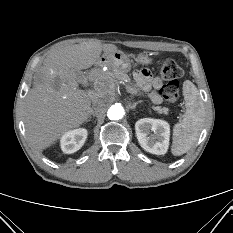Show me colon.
<instances>
[{
    "mask_svg": "<svg viewBox=\"0 0 233 233\" xmlns=\"http://www.w3.org/2000/svg\"><path fill=\"white\" fill-rule=\"evenodd\" d=\"M159 73L167 81L161 88V95L166 101L175 103L179 98L178 79L184 76L183 69L176 61L167 59L161 64Z\"/></svg>",
    "mask_w": 233,
    "mask_h": 233,
    "instance_id": "colon-1",
    "label": "colon"
}]
</instances>
